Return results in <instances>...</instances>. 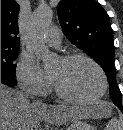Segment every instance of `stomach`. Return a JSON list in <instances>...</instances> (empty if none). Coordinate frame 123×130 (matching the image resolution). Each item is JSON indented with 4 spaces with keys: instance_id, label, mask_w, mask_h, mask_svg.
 I'll list each match as a JSON object with an SVG mask.
<instances>
[{
    "instance_id": "0dacf381",
    "label": "stomach",
    "mask_w": 123,
    "mask_h": 130,
    "mask_svg": "<svg viewBox=\"0 0 123 130\" xmlns=\"http://www.w3.org/2000/svg\"><path fill=\"white\" fill-rule=\"evenodd\" d=\"M66 130H94V128L85 121L76 120L73 121Z\"/></svg>"
}]
</instances>
